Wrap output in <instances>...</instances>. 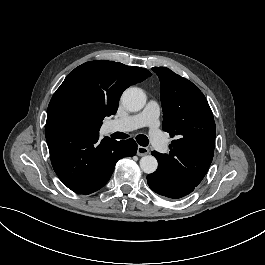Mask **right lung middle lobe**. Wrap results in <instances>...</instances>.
Instances as JSON below:
<instances>
[{
    "label": "right lung middle lobe",
    "mask_w": 265,
    "mask_h": 265,
    "mask_svg": "<svg viewBox=\"0 0 265 265\" xmlns=\"http://www.w3.org/2000/svg\"><path fill=\"white\" fill-rule=\"evenodd\" d=\"M103 94L87 79L63 82L47 110L46 127H65L98 133L106 116L115 114Z\"/></svg>",
    "instance_id": "dd1d6c3e"
}]
</instances>
